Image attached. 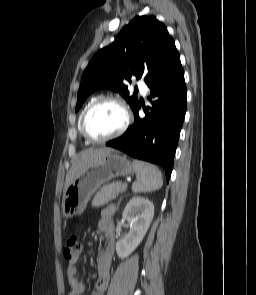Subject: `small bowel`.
Segmentation results:
<instances>
[{
    "label": "small bowel",
    "mask_w": 256,
    "mask_h": 295,
    "mask_svg": "<svg viewBox=\"0 0 256 295\" xmlns=\"http://www.w3.org/2000/svg\"><path fill=\"white\" fill-rule=\"evenodd\" d=\"M113 213L112 207H107L102 211L101 220L99 222L100 230L106 236V246L98 259V279L92 291V295H104L110 277H111V262L114 253L115 236L113 227ZM78 257L69 261L67 267L68 285L70 287V295H82L86 286L78 277L77 264Z\"/></svg>",
    "instance_id": "small-bowel-1"
}]
</instances>
